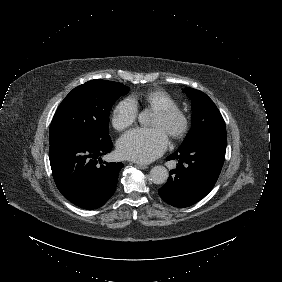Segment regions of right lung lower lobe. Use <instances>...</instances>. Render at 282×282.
<instances>
[{"mask_svg":"<svg viewBox=\"0 0 282 282\" xmlns=\"http://www.w3.org/2000/svg\"><path fill=\"white\" fill-rule=\"evenodd\" d=\"M112 141L74 135L50 144L49 159L55 183L62 195L83 209H96L114 194L122 163L99 165ZM102 161V160H101Z\"/></svg>","mask_w":282,"mask_h":282,"instance_id":"right-lung-lower-lobe-1","label":"right lung lower lobe"}]
</instances>
